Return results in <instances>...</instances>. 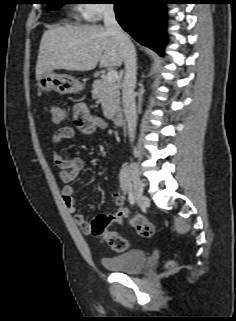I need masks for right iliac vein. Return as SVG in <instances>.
<instances>
[{
    "label": "right iliac vein",
    "instance_id": "right-iliac-vein-1",
    "mask_svg": "<svg viewBox=\"0 0 236 321\" xmlns=\"http://www.w3.org/2000/svg\"><path fill=\"white\" fill-rule=\"evenodd\" d=\"M131 179L133 181V190H134V198L138 205H147L148 199L144 195V185L142 180L140 179L138 175V170L135 165H131Z\"/></svg>",
    "mask_w": 236,
    "mask_h": 321
}]
</instances>
